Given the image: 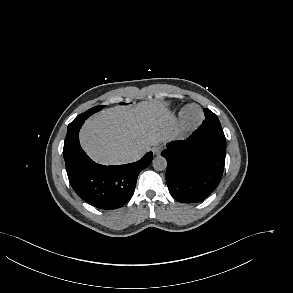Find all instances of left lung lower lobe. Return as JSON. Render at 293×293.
<instances>
[{
    "label": "left lung lower lobe",
    "mask_w": 293,
    "mask_h": 293,
    "mask_svg": "<svg viewBox=\"0 0 293 293\" xmlns=\"http://www.w3.org/2000/svg\"><path fill=\"white\" fill-rule=\"evenodd\" d=\"M161 155L167 160L166 182L172 197L182 203L200 202L222 178L225 135L202 123L186 140L168 143Z\"/></svg>",
    "instance_id": "1"
}]
</instances>
